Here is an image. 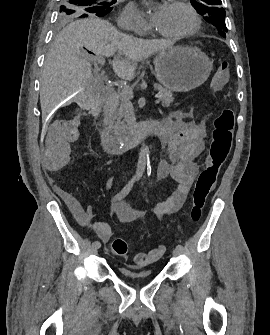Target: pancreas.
I'll return each instance as SVG.
<instances>
[{
    "label": "pancreas",
    "instance_id": "pancreas-1",
    "mask_svg": "<svg viewBox=\"0 0 270 335\" xmlns=\"http://www.w3.org/2000/svg\"><path fill=\"white\" fill-rule=\"evenodd\" d=\"M154 88L159 92L158 96H160V102L163 108H169L171 102L174 100L171 90L162 88L160 84H154ZM117 116V122L114 124V132L117 136H122V134L129 132L130 124L135 120L133 110H119Z\"/></svg>",
    "mask_w": 270,
    "mask_h": 335
}]
</instances>
